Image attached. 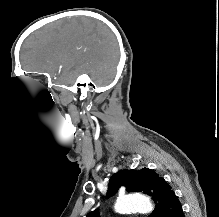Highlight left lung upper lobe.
Returning a JSON list of instances; mask_svg holds the SVG:
<instances>
[{
  "mask_svg": "<svg viewBox=\"0 0 219 217\" xmlns=\"http://www.w3.org/2000/svg\"><path fill=\"white\" fill-rule=\"evenodd\" d=\"M125 185L127 192H143L152 197L155 209L149 217H170L179 202L171 186L149 168L122 170L115 173L108 185L107 196H113ZM86 217H100L99 211L90 212Z\"/></svg>",
  "mask_w": 219,
  "mask_h": 217,
  "instance_id": "obj_1",
  "label": "left lung upper lobe"
}]
</instances>
